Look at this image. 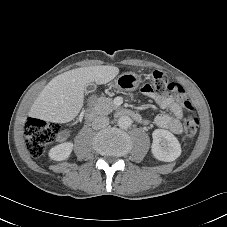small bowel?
I'll return each mask as SVG.
<instances>
[{
    "mask_svg": "<svg viewBox=\"0 0 227 227\" xmlns=\"http://www.w3.org/2000/svg\"><path fill=\"white\" fill-rule=\"evenodd\" d=\"M141 92L152 98L160 108L170 112V114H158L154 119L155 125L174 134H180L182 132L183 110L174 94L171 91H166L163 95H159V89L153 87L150 82H145L141 85ZM64 138L65 134L61 135L60 140Z\"/></svg>",
    "mask_w": 227,
    "mask_h": 227,
    "instance_id": "1",
    "label": "small bowel"
}]
</instances>
